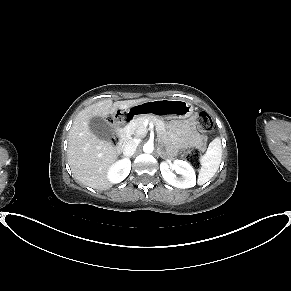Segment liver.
<instances>
[{
    "mask_svg": "<svg viewBox=\"0 0 291 291\" xmlns=\"http://www.w3.org/2000/svg\"><path fill=\"white\" fill-rule=\"evenodd\" d=\"M148 98L116 101L103 100L86 107L75 118L68 135L67 157L73 176L82 184L94 189L106 190L112 184L107 171L115 162L118 151L113 144L97 138L89 128L92 117H108L117 110L148 101Z\"/></svg>",
    "mask_w": 291,
    "mask_h": 291,
    "instance_id": "1",
    "label": "liver"
}]
</instances>
